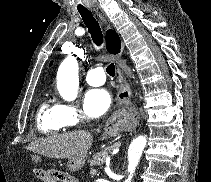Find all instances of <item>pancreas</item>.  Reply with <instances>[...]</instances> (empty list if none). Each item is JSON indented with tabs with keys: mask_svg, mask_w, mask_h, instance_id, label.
<instances>
[{
	"mask_svg": "<svg viewBox=\"0 0 211 182\" xmlns=\"http://www.w3.org/2000/svg\"><path fill=\"white\" fill-rule=\"evenodd\" d=\"M116 148V146H110L100 152L94 153L91 159L88 160L91 166V170L94 165H101L105 162L106 158L111 154V152Z\"/></svg>",
	"mask_w": 211,
	"mask_h": 182,
	"instance_id": "cf45deb5",
	"label": "pancreas"
}]
</instances>
